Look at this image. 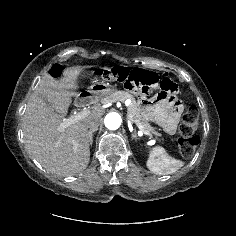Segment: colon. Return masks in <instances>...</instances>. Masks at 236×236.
<instances>
[{
	"label": "colon",
	"instance_id": "obj_1",
	"mask_svg": "<svg viewBox=\"0 0 236 236\" xmlns=\"http://www.w3.org/2000/svg\"><path fill=\"white\" fill-rule=\"evenodd\" d=\"M60 73V66H54L51 70L53 76H59ZM97 74L106 81L119 82L127 90L137 94H165L172 96L175 93V86L170 80L160 79L155 74L141 70H130L126 67L114 66L100 69ZM199 122L198 110L190 107L185 112L179 129L180 137L178 139V145L180 153L184 157H191L200 143L199 136L194 134Z\"/></svg>",
	"mask_w": 236,
	"mask_h": 236
}]
</instances>
